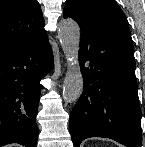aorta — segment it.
<instances>
[{
	"mask_svg": "<svg viewBox=\"0 0 145 147\" xmlns=\"http://www.w3.org/2000/svg\"><path fill=\"white\" fill-rule=\"evenodd\" d=\"M58 38L67 62L63 99L67 103H74L83 92V77L78 59L80 48V28L78 24L72 19H63L59 23Z\"/></svg>",
	"mask_w": 145,
	"mask_h": 147,
	"instance_id": "aorta-1",
	"label": "aorta"
}]
</instances>
